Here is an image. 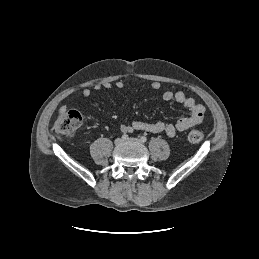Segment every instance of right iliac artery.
Wrapping results in <instances>:
<instances>
[{"label": "right iliac artery", "mask_w": 259, "mask_h": 259, "mask_svg": "<svg viewBox=\"0 0 259 259\" xmlns=\"http://www.w3.org/2000/svg\"><path fill=\"white\" fill-rule=\"evenodd\" d=\"M122 139H123V140H127V139H128V135H127V134H123V135H122Z\"/></svg>", "instance_id": "right-iliac-artery-1"}]
</instances>
